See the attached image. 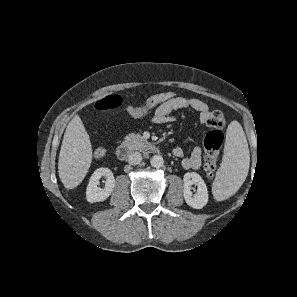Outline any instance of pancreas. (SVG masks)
<instances>
[{
    "label": "pancreas",
    "mask_w": 297,
    "mask_h": 297,
    "mask_svg": "<svg viewBox=\"0 0 297 297\" xmlns=\"http://www.w3.org/2000/svg\"><path fill=\"white\" fill-rule=\"evenodd\" d=\"M145 142L141 135L135 133L128 134L123 141L130 149H142L145 147Z\"/></svg>",
    "instance_id": "1"
}]
</instances>
